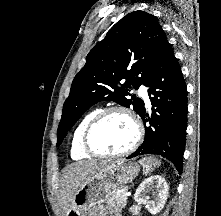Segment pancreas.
Listing matches in <instances>:
<instances>
[{"label": "pancreas", "mask_w": 221, "mask_h": 216, "mask_svg": "<svg viewBox=\"0 0 221 216\" xmlns=\"http://www.w3.org/2000/svg\"><path fill=\"white\" fill-rule=\"evenodd\" d=\"M127 189V186L117 189L113 196L108 200V203L124 208L127 203V196L125 195Z\"/></svg>", "instance_id": "cf45deb5"}]
</instances>
